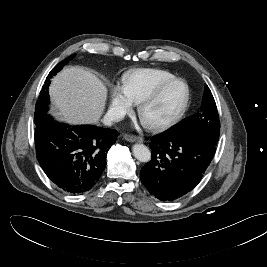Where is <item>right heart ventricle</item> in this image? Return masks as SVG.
<instances>
[{
    "label": "right heart ventricle",
    "instance_id": "1",
    "mask_svg": "<svg viewBox=\"0 0 267 267\" xmlns=\"http://www.w3.org/2000/svg\"><path fill=\"white\" fill-rule=\"evenodd\" d=\"M176 79L175 75L165 70L142 68L125 73L122 82L129 100L132 104H138L160 86Z\"/></svg>",
    "mask_w": 267,
    "mask_h": 267
}]
</instances>
